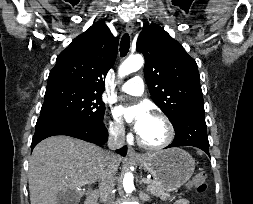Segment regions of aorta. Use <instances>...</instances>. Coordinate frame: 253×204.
I'll return each instance as SVG.
<instances>
[{
  "mask_svg": "<svg viewBox=\"0 0 253 204\" xmlns=\"http://www.w3.org/2000/svg\"><path fill=\"white\" fill-rule=\"evenodd\" d=\"M144 64V59L141 55H132L128 57L119 67L118 74L120 77H124L130 73H133L139 70ZM127 121L132 119L131 116H125ZM133 174L131 172H127L123 178V187L126 193H132L134 189L133 183Z\"/></svg>",
  "mask_w": 253,
  "mask_h": 204,
  "instance_id": "obj_1",
  "label": "aorta"
}]
</instances>
